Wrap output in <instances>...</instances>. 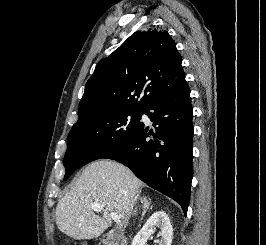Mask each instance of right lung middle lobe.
I'll return each instance as SVG.
<instances>
[{
  "instance_id": "dd1d6c3e",
  "label": "right lung middle lobe",
  "mask_w": 266,
  "mask_h": 245,
  "mask_svg": "<svg viewBox=\"0 0 266 245\" xmlns=\"http://www.w3.org/2000/svg\"><path fill=\"white\" fill-rule=\"evenodd\" d=\"M144 112L145 109L116 107L78 119L68 135L64 180L76 169L125 146L137 132Z\"/></svg>"
}]
</instances>
